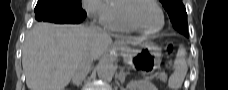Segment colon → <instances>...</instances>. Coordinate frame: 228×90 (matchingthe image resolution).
Returning a JSON list of instances; mask_svg holds the SVG:
<instances>
[{
	"instance_id": "colon-1",
	"label": "colon",
	"mask_w": 228,
	"mask_h": 90,
	"mask_svg": "<svg viewBox=\"0 0 228 90\" xmlns=\"http://www.w3.org/2000/svg\"><path fill=\"white\" fill-rule=\"evenodd\" d=\"M173 50H174V45L172 43H170L168 45V52H169V54H171L173 52Z\"/></svg>"
}]
</instances>
